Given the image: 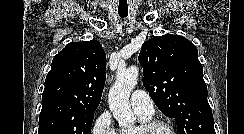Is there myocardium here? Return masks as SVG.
Masks as SVG:
<instances>
[{
    "label": "myocardium",
    "instance_id": "f54148a6",
    "mask_svg": "<svg viewBox=\"0 0 244 134\" xmlns=\"http://www.w3.org/2000/svg\"><path fill=\"white\" fill-rule=\"evenodd\" d=\"M158 127L167 128L171 134H179L173 124L164 120H148L143 122L137 129L136 134H153Z\"/></svg>",
    "mask_w": 244,
    "mask_h": 134
}]
</instances>
